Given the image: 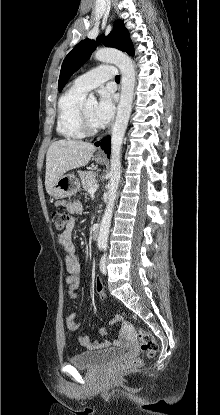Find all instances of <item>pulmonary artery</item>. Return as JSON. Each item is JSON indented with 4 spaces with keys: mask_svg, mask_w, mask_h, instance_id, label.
Returning a JSON list of instances; mask_svg holds the SVG:
<instances>
[{
    "mask_svg": "<svg viewBox=\"0 0 220 415\" xmlns=\"http://www.w3.org/2000/svg\"><path fill=\"white\" fill-rule=\"evenodd\" d=\"M116 73L117 70L114 66L101 65L77 77L73 86L83 92H88L105 81L112 79Z\"/></svg>",
    "mask_w": 220,
    "mask_h": 415,
    "instance_id": "pulmonary-artery-1",
    "label": "pulmonary artery"
}]
</instances>
